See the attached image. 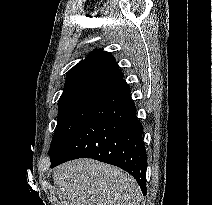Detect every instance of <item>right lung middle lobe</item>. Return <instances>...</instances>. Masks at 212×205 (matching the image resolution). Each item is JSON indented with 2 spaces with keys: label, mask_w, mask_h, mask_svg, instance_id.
Here are the masks:
<instances>
[{
  "label": "right lung middle lobe",
  "mask_w": 212,
  "mask_h": 205,
  "mask_svg": "<svg viewBox=\"0 0 212 205\" xmlns=\"http://www.w3.org/2000/svg\"><path fill=\"white\" fill-rule=\"evenodd\" d=\"M101 95L77 98L59 105L57 129L50 145V158H56L87 121Z\"/></svg>",
  "instance_id": "right-lung-middle-lobe-1"
}]
</instances>
